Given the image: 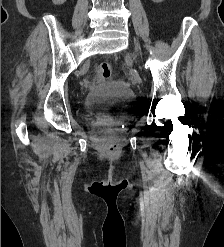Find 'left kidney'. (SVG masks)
Returning <instances> with one entry per match:
<instances>
[{"label":"left kidney","mask_w":224,"mask_h":247,"mask_svg":"<svg viewBox=\"0 0 224 247\" xmlns=\"http://www.w3.org/2000/svg\"><path fill=\"white\" fill-rule=\"evenodd\" d=\"M152 2H157V4H159V2H163V0H152Z\"/></svg>","instance_id":"obj_1"}]
</instances>
